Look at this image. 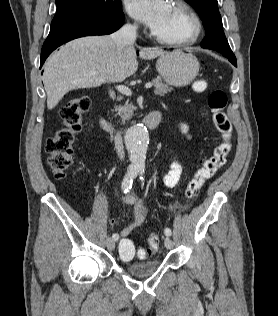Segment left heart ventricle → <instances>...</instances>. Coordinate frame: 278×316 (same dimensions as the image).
<instances>
[{
	"label": "left heart ventricle",
	"instance_id": "obj_1",
	"mask_svg": "<svg viewBox=\"0 0 278 316\" xmlns=\"http://www.w3.org/2000/svg\"><path fill=\"white\" fill-rule=\"evenodd\" d=\"M190 31L191 22L189 18L171 5L165 20L154 32L166 38H182L187 36Z\"/></svg>",
	"mask_w": 278,
	"mask_h": 316
}]
</instances>
